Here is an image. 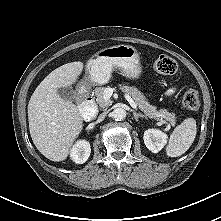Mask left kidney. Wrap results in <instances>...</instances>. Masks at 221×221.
Instances as JSON below:
<instances>
[{
    "label": "left kidney",
    "instance_id": "1",
    "mask_svg": "<svg viewBox=\"0 0 221 221\" xmlns=\"http://www.w3.org/2000/svg\"><path fill=\"white\" fill-rule=\"evenodd\" d=\"M144 143L153 153L159 152L167 142V135L157 129H148L144 132Z\"/></svg>",
    "mask_w": 221,
    "mask_h": 221
}]
</instances>
